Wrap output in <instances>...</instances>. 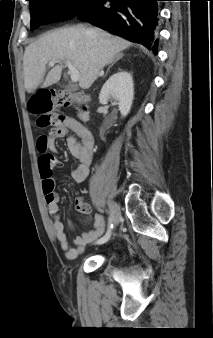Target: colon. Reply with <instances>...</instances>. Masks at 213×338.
I'll return each mask as SVG.
<instances>
[{"label": "colon", "mask_w": 213, "mask_h": 338, "mask_svg": "<svg viewBox=\"0 0 213 338\" xmlns=\"http://www.w3.org/2000/svg\"><path fill=\"white\" fill-rule=\"evenodd\" d=\"M85 96H74L63 93H53L50 90L35 92L28 101V109L36 116V124L41 128L58 127L64 122V116L55 112L61 107H73L79 102L86 101ZM45 192L53 188V182H43Z\"/></svg>", "instance_id": "5ec220e1"}]
</instances>
